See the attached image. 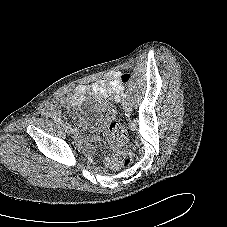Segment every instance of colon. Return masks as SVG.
<instances>
[{
	"label": "colon",
	"instance_id": "1",
	"mask_svg": "<svg viewBox=\"0 0 227 227\" xmlns=\"http://www.w3.org/2000/svg\"><path fill=\"white\" fill-rule=\"evenodd\" d=\"M130 79V76L126 73H122L120 76V82L127 83ZM100 107L105 111L110 124L109 133L111 138V144L114 150L117 152L119 156V162L123 167H129L133 163V154L124 149L123 146L127 142V131L125 127L119 122L117 117V109L110 99L105 98L102 100Z\"/></svg>",
	"mask_w": 227,
	"mask_h": 227
}]
</instances>
